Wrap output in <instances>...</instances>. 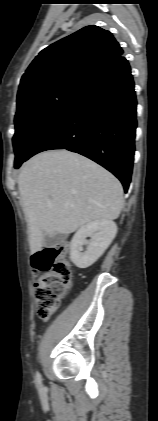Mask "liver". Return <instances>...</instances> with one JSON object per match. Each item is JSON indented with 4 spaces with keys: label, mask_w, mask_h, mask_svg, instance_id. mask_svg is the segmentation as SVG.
<instances>
[{
    "label": "liver",
    "mask_w": 158,
    "mask_h": 421,
    "mask_svg": "<svg viewBox=\"0 0 158 421\" xmlns=\"http://www.w3.org/2000/svg\"><path fill=\"white\" fill-rule=\"evenodd\" d=\"M32 253L44 235L70 234L87 223L118 218L123 188L117 178L91 160L51 150L29 159L18 178Z\"/></svg>",
    "instance_id": "obj_1"
}]
</instances>
